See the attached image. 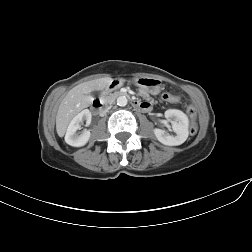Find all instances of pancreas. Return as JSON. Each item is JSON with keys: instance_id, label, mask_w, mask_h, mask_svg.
<instances>
[{"instance_id": "cf45deb5", "label": "pancreas", "mask_w": 252, "mask_h": 252, "mask_svg": "<svg viewBox=\"0 0 252 252\" xmlns=\"http://www.w3.org/2000/svg\"><path fill=\"white\" fill-rule=\"evenodd\" d=\"M139 94H140L142 97L146 98V100L149 101L150 104H154V105H157V104H158V101H157L156 99L152 98L151 95L148 94L146 91L140 89V90H139ZM111 98H112V97H111Z\"/></svg>"}]
</instances>
